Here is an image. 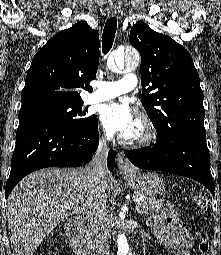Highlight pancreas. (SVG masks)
Returning <instances> with one entry per match:
<instances>
[{
	"instance_id": "1",
	"label": "pancreas",
	"mask_w": 221,
	"mask_h": 255,
	"mask_svg": "<svg viewBox=\"0 0 221 255\" xmlns=\"http://www.w3.org/2000/svg\"><path fill=\"white\" fill-rule=\"evenodd\" d=\"M133 199H140V203L136 206L139 207L137 209L138 213L144 214V215H152L155 213H159L164 204L163 199H150L141 193L135 192L132 196Z\"/></svg>"
}]
</instances>
